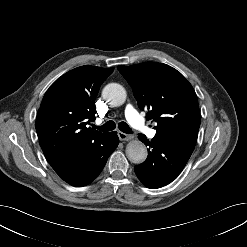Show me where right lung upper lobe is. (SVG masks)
I'll return each mask as SVG.
<instances>
[{
	"mask_svg": "<svg viewBox=\"0 0 247 247\" xmlns=\"http://www.w3.org/2000/svg\"><path fill=\"white\" fill-rule=\"evenodd\" d=\"M113 68L81 66L58 78L46 92L36 119L40 146L49 164L67 151L107 133L88 127L95 119V98Z\"/></svg>",
	"mask_w": 247,
	"mask_h": 247,
	"instance_id": "cb5924a9",
	"label": "right lung upper lobe"
}]
</instances>
